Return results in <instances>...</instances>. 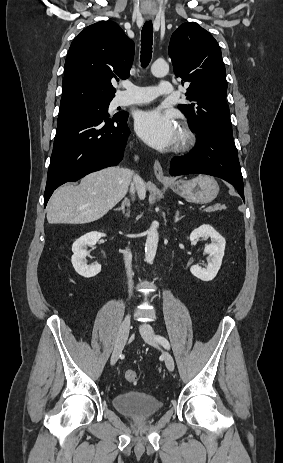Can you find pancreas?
<instances>
[{
	"label": "pancreas",
	"mask_w": 283,
	"mask_h": 463,
	"mask_svg": "<svg viewBox=\"0 0 283 463\" xmlns=\"http://www.w3.org/2000/svg\"><path fill=\"white\" fill-rule=\"evenodd\" d=\"M221 209H222V207L220 205H217V206L211 207L210 209L207 208L206 211L207 212H214V211L221 210Z\"/></svg>",
	"instance_id": "1"
}]
</instances>
